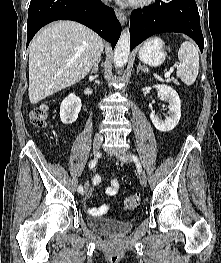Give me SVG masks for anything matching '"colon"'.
Here are the masks:
<instances>
[{"mask_svg":"<svg viewBox=\"0 0 221 263\" xmlns=\"http://www.w3.org/2000/svg\"><path fill=\"white\" fill-rule=\"evenodd\" d=\"M47 106L41 105L36 107L30 113L31 122L37 127H44L47 122L48 112ZM140 198L138 195H129L123 201V208L125 210H134L139 206Z\"/></svg>","mask_w":221,"mask_h":263,"instance_id":"5ec220e1","label":"colon"}]
</instances>
